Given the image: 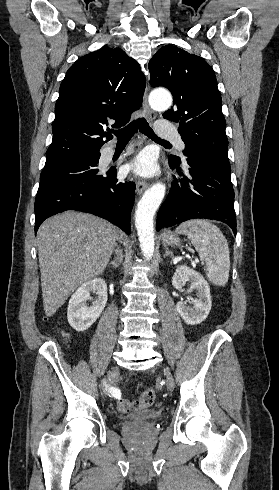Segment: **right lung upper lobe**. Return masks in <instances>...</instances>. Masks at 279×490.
Here are the masks:
<instances>
[{"label":"right lung upper lobe","mask_w":279,"mask_h":490,"mask_svg":"<svg viewBox=\"0 0 279 490\" xmlns=\"http://www.w3.org/2000/svg\"><path fill=\"white\" fill-rule=\"evenodd\" d=\"M144 89L139 64L120 48H102L78 59L60 85L45 164L100 156L102 138H112L105 131L108 121L115 120V128L128 123Z\"/></svg>","instance_id":"obj_1"}]
</instances>
